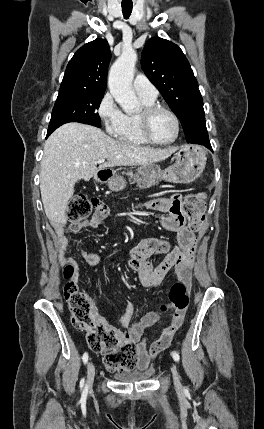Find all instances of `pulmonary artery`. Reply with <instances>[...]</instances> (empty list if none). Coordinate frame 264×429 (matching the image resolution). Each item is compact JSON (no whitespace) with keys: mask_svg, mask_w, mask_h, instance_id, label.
<instances>
[{"mask_svg":"<svg viewBox=\"0 0 264 429\" xmlns=\"http://www.w3.org/2000/svg\"><path fill=\"white\" fill-rule=\"evenodd\" d=\"M133 89L138 96L156 99L158 91L150 80L143 74H138L133 81Z\"/></svg>","mask_w":264,"mask_h":429,"instance_id":"1","label":"pulmonary artery"}]
</instances>
